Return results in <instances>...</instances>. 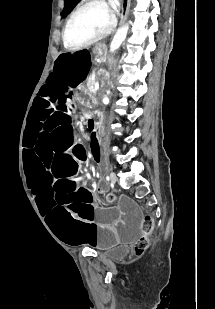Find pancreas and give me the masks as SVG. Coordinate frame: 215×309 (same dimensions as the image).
I'll return each instance as SVG.
<instances>
[{
    "label": "pancreas",
    "mask_w": 215,
    "mask_h": 309,
    "mask_svg": "<svg viewBox=\"0 0 215 309\" xmlns=\"http://www.w3.org/2000/svg\"><path fill=\"white\" fill-rule=\"evenodd\" d=\"M97 80H92V78H88L87 80V86L89 90H94V84H96ZM93 94H96V92H93ZM92 102H97L95 96L92 98Z\"/></svg>",
    "instance_id": "pancreas-1"
}]
</instances>
